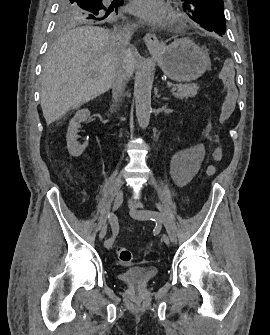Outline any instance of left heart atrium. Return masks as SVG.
Returning a JSON list of instances; mask_svg holds the SVG:
<instances>
[{"label": "left heart atrium", "mask_w": 270, "mask_h": 335, "mask_svg": "<svg viewBox=\"0 0 270 335\" xmlns=\"http://www.w3.org/2000/svg\"><path fill=\"white\" fill-rule=\"evenodd\" d=\"M132 13L153 30L170 27L175 21L173 13L161 0H135Z\"/></svg>", "instance_id": "1"}]
</instances>
